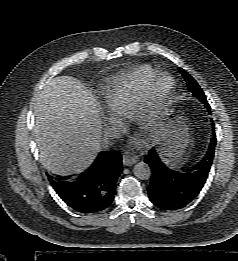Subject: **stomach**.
<instances>
[{
	"instance_id": "obj_1",
	"label": "stomach",
	"mask_w": 238,
	"mask_h": 261,
	"mask_svg": "<svg viewBox=\"0 0 238 261\" xmlns=\"http://www.w3.org/2000/svg\"><path fill=\"white\" fill-rule=\"evenodd\" d=\"M154 141L160 145L162 155L171 163L184 156L189 144V128L177 112L166 114L153 130Z\"/></svg>"
}]
</instances>
